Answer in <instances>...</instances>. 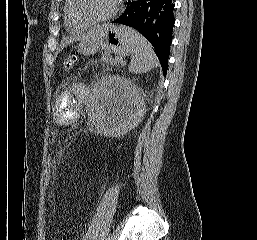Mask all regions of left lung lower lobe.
<instances>
[{"label":"left lung lower lobe","mask_w":257,"mask_h":240,"mask_svg":"<svg viewBox=\"0 0 257 240\" xmlns=\"http://www.w3.org/2000/svg\"><path fill=\"white\" fill-rule=\"evenodd\" d=\"M173 10V0H129L125 11L112 22L138 30L152 44L164 76L175 22Z\"/></svg>","instance_id":"0a47b994"}]
</instances>
